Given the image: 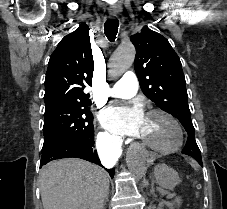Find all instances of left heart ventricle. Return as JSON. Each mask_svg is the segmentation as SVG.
Here are the masks:
<instances>
[{"label": "left heart ventricle", "instance_id": "obj_1", "mask_svg": "<svg viewBox=\"0 0 227 209\" xmlns=\"http://www.w3.org/2000/svg\"><path fill=\"white\" fill-rule=\"evenodd\" d=\"M136 134L140 138L159 147H169L177 139L174 126L160 115L146 116L142 127Z\"/></svg>", "mask_w": 227, "mask_h": 209}]
</instances>
